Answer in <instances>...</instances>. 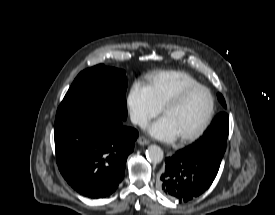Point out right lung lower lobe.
I'll return each mask as SVG.
<instances>
[{"label":"right lung lower lobe","mask_w":275,"mask_h":215,"mask_svg":"<svg viewBox=\"0 0 275 215\" xmlns=\"http://www.w3.org/2000/svg\"><path fill=\"white\" fill-rule=\"evenodd\" d=\"M108 109L55 121V149L64 179L90 198L111 195L123 180L138 131Z\"/></svg>","instance_id":"right-lung-lower-lobe-1"}]
</instances>
